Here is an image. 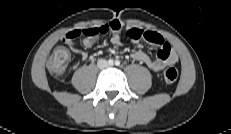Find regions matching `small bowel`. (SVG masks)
<instances>
[{
    "label": "small bowel",
    "mask_w": 231,
    "mask_h": 134,
    "mask_svg": "<svg viewBox=\"0 0 231 134\" xmlns=\"http://www.w3.org/2000/svg\"><path fill=\"white\" fill-rule=\"evenodd\" d=\"M121 23L118 20H113L109 24L90 29H78L68 32L63 37V42L74 52L79 53L83 60L88 59L89 55L86 51L80 50L75 40L84 36L83 45L86 48H91L98 38L110 32L112 34L111 42L114 45H122ZM127 36L133 43H138L141 39L147 43L159 48L155 56L148 54L143 50H136L131 54V57L145 64L155 72L161 71L168 65H173L178 61V55L169 42H167L160 34L154 31H143L136 27L127 29Z\"/></svg>",
    "instance_id": "small-bowel-1"
}]
</instances>
